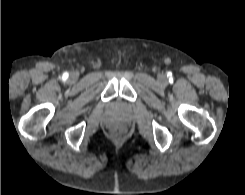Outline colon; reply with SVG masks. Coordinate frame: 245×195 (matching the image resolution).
<instances>
[{"label":"colon","mask_w":245,"mask_h":195,"mask_svg":"<svg viewBox=\"0 0 245 195\" xmlns=\"http://www.w3.org/2000/svg\"><path fill=\"white\" fill-rule=\"evenodd\" d=\"M123 132H124V130H123L122 128H117V129L114 130V133H115L116 135H120V134H122Z\"/></svg>","instance_id":"colon-1"}]
</instances>
